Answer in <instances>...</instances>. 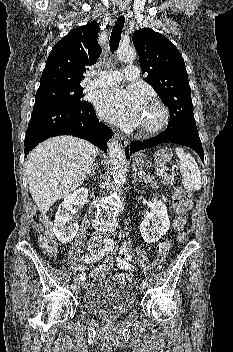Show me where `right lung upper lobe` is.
Here are the masks:
<instances>
[{
  "mask_svg": "<svg viewBox=\"0 0 233 352\" xmlns=\"http://www.w3.org/2000/svg\"><path fill=\"white\" fill-rule=\"evenodd\" d=\"M99 24L95 21L71 30L52 48L40 79V87L61 84L80 85L87 66L101 54L97 42Z\"/></svg>",
  "mask_w": 233,
  "mask_h": 352,
  "instance_id": "obj_1",
  "label": "right lung upper lobe"
}]
</instances>
